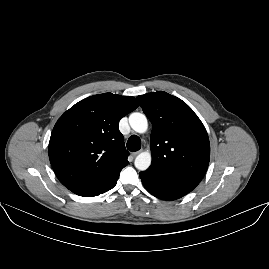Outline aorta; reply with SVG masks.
Wrapping results in <instances>:
<instances>
[{
    "mask_svg": "<svg viewBox=\"0 0 269 269\" xmlns=\"http://www.w3.org/2000/svg\"><path fill=\"white\" fill-rule=\"evenodd\" d=\"M129 124L137 133H145L148 128V121L144 114L139 112L131 113L129 116ZM135 167L140 171H145L151 165V154L142 152L135 158Z\"/></svg>",
    "mask_w": 269,
    "mask_h": 269,
    "instance_id": "obj_1",
    "label": "aorta"
}]
</instances>
